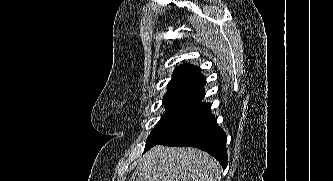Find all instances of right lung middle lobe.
Segmentation results:
<instances>
[{
  "label": "right lung middle lobe",
  "mask_w": 333,
  "mask_h": 181,
  "mask_svg": "<svg viewBox=\"0 0 333 181\" xmlns=\"http://www.w3.org/2000/svg\"><path fill=\"white\" fill-rule=\"evenodd\" d=\"M208 111L171 107L161 117L147 138L145 152L157 144L177 140L192 130L207 115Z\"/></svg>",
  "instance_id": "right-lung-middle-lobe-1"
}]
</instances>
